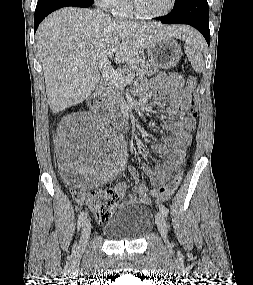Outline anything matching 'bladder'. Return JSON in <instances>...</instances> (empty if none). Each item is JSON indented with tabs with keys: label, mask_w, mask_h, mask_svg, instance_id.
Here are the masks:
<instances>
[{
	"label": "bladder",
	"mask_w": 253,
	"mask_h": 285,
	"mask_svg": "<svg viewBox=\"0 0 253 285\" xmlns=\"http://www.w3.org/2000/svg\"><path fill=\"white\" fill-rule=\"evenodd\" d=\"M153 225L154 215L149 207L125 202L104 223L102 232L113 241L133 242L143 239Z\"/></svg>",
	"instance_id": "obj_1"
}]
</instances>
